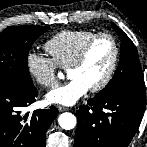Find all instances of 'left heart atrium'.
I'll use <instances>...</instances> for the list:
<instances>
[{
  "label": "left heart atrium",
  "instance_id": "obj_1",
  "mask_svg": "<svg viewBox=\"0 0 147 147\" xmlns=\"http://www.w3.org/2000/svg\"><path fill=\"white\" fill-rule=\"evenodd\" d=\"M89 89L90 88L83 81L74 78L49 91L45 99L49 104L72 106L77 103Z\"/></svg>",
  "mask_w": 147,
  "mask_h": 147
}]
</instances>
